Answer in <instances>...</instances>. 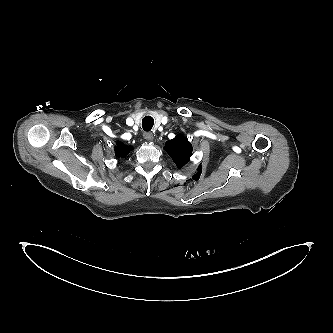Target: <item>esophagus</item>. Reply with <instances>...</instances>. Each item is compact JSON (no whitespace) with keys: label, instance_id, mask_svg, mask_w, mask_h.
Instances as JSON below:
<instances>
[{"label":"esophagus","instance_id":"1","mask_svg":"<svg viewBox=\"0 0 333 333\" xmlns=\"http://www.w3.org/2000/svg\"><path fill=\"white\" fill-rule=\"evenodd\" d=\"M143 137L147 141H152L154 139V135L151 132H145Z\"/></svg>","mask_w":333,"mask_h":333}]
</instances>
